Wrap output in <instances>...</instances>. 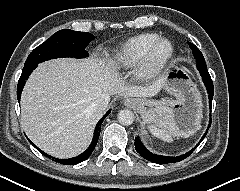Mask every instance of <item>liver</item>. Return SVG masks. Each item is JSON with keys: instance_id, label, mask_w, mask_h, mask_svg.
Instances as JSON below:
<instances>
[{"instance_id": "obj_1", "label": "liver", "mask_w": 240, "mask_h": 191, "mask_svg": "<svg viewBox=\"0 0 240 191\" xmlns=\"http://www.w3.org/2000/svg\"><path fill=\"white\" fill-rule=\"evenodd\" d=\"M163 77L150 86L126 85L104 60L54 59L39 64L21 96L22 128L44 152L71 158L90 144L102 113L92 103L102 95L152 97Z\"/></svg>"}]
</instances>
